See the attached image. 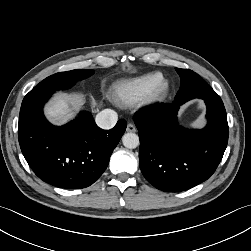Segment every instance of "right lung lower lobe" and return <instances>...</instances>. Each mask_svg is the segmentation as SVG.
Returning a JSON list of instances; mask_svg holds the SVG:
<instances>
[{"label":"right lung lower lobe","instance_id":"right-lung-lower-lobe-1","mask_svg":"<svg viewBox=\"0 0 251 251\" xmlns=\"http://www.w3.org/2000/svg\"><path fill=\"white\" fill-rule=\"evenodd\" d=\"M53 93L32 89L24 97L18 127L21 151L44 182L65 189L88 187L107 168L127 122L121 119L111 130H102L89 112L82 111L70 123L54 126L43 114Z\"/></svg>","mask_w":251,"mask_h":251}]
</instances>
